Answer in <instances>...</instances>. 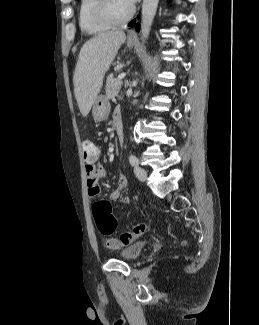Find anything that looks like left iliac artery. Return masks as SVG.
<instances>
[{
	"label": "left iliac artery",
	"mask_w": 259,
	"mask_h": 325,
	"mask_svg": "<svg viewBox=\"0 0 259 325\" xmlns=\"http://www.w3.org/2000/svg\"><path fill=\"white\" fill-rule=\"evenodd\" d=\"M133 160H138V158L135 155L130 154V156H129V162H130L131 165H132V161Z\"/></svg>",
	"instance_id": "obj_1"
}]
</instances>
